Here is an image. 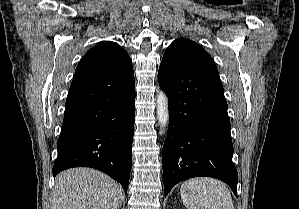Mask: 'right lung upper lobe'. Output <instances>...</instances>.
Returning a JSON list of instances; mask_svg holds the SVG:
<instances>
[{
	"mask_svg": "<svg viewBox=\"0 0 299 209\" xmlns=\"http://www.w3.org/2000/svg\"><path fill=\"white\" fill-rule=\"evenodd\" d=\"M100 71H114L124 78L134 74L127 52L112 41L101 42L91 48L81 59L75 74Z\"/></svg>",
	"mask_w": 299,
	"mask_h": 209,
	"instance_id": "right-lung-upper-lobe-1",
	"label": "right lung upper lobe"
}]
</instances>
